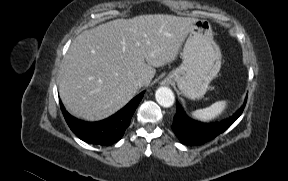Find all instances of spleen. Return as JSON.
Listing matches in <instances>:
<instances>
[{
    "instance_id": "1",
    "label": "spleen",
    "mask_w": 288,
    "mask_h": 181,
    "mask_svg": "<svg viewBox=\"0 0 288 181\" xmlns=\"http://www.w3.org/2000/svg\"><path fill=\"white\" fill-rule=\"evenodd\" d=\"M227 101H217L211 106L192 112V116L203 121H209L219 116L226 108Z\"/></svg>"
}]
</instances>
